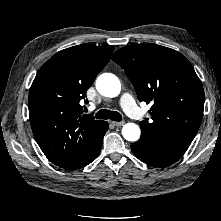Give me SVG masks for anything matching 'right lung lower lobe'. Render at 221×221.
I'll list each match as a JSON object with an SVG mask.
<instances>
[{"instance_id":"98d812e1","label":"right lung lower lobe","mask_w":221,"mask_h":221,"mask_svg":"<svg viewBox=\"0 0 221 221\" xmlns=\"http://www.w3.org/2000/svg\"><path fill=\"white\" fill-rule=\"evenodd\" d=\"M107 130H108V123L103 121L99 129H97L95 134L92 136V142H91L92 147L89 155L81 163L73 167H68L66 169H79L91 163L99 155L101 151L103 137Z\"/></svg>"}]
</instances>
